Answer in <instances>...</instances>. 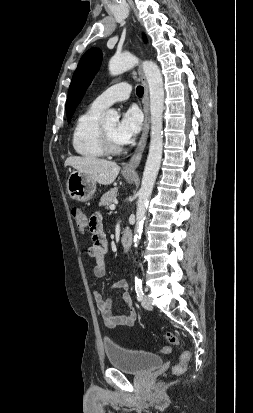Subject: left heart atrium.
Returning <instances> with one entry per match:
<instances>
[{
  "label": "left heart atrium",
  "mask_w": 253,
  "mask_h": 413,
  "mask_svg": "<svg viewBox=\"0 0 253 413\" xmlns=\"http://www.w3.org/2000/svg\"><path fill=\"white\" fill-rule=\"evenodd\" d=\"M142 126V116L138 109L129 108L126 110L117 123L115 136L117 141L122 144L131 143L137 134L140 132Z\"/></svg>",
  "instance_id": "1"
}]
</instances>
